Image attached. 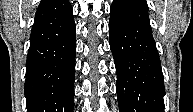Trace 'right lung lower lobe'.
Segmentation results:
<instances>
[{
  "label": "right lung lower lobe",
  "mask_w": 193,
  "mask_h": 112,
  "mask_svg": "<svg viewBox=\"0 0 193 112\" xmlns=\"http://www.w3.org/2000/svg\"><path fill=\"white\" fill-rule=\"evenodd\" d=\"M68 0L38 6L26 62L27 112H73L76 33Z\"/></svg>",
  "instance_id": "1"
}]
</instances>
